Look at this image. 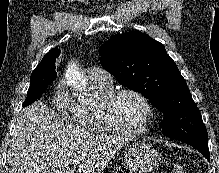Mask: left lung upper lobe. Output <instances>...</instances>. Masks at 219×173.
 <instances>
[{"label": "left lung upper lobe", "mask_w": 219, "mask_h": 173, "mask_svg": "<svg viewBox=\"0 0 219 173\" xmlns=\"http://www.w3.org/2000/svg\"><path fill=\"white\" fill-rule=\"evenodd\" d=\"M99 52L104 69L164 114V135L208 144L206 127L187 83L160 42L134 31L111 37Z\"/></svg>", "instance_id": "obj_1"}]
</instances>
